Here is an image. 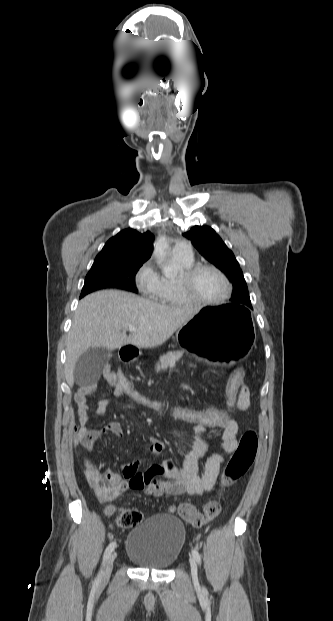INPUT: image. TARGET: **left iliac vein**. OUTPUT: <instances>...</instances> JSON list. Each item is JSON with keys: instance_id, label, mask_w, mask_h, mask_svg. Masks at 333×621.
Returning <instances> with one entry per match:
<instances>
[{"instance_id": "obj_1", "label": "left iliac vein", "mask_w": 333, "mask_h": 621, "mask_svg": "<svg viewBox=\"0 0 333 621\" xmlns=\"http://www.w3.org/2000/svg\"><path fill=\"white\" fill-rule=\"evenodd\" d=\"M190 568H191V576L194 584H198V568L197 563L193 557H190Z\"/></svg>"}]
</instances>
